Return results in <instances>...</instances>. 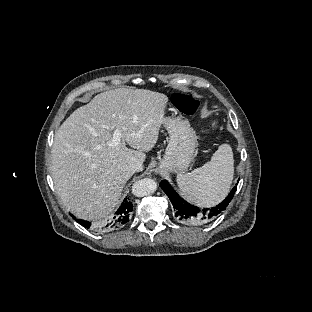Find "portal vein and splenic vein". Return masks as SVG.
Here are the masks:
<instances>
[{"instance_id":"portal-vein-and-splenic-vein-1","label":"portal vein and splenic vein","mask_w":312,"mask_h":312,"mask_svg":"<svg viewBox=\"0 0 312 312\" xmlns=\"http://www.w3.org/2000/svg\"><path fill=\"white\" fill-rule=\"evenodd\" d=\"M122 134L119 130H114L112 140L107 142L108 146L116 147L121 142Z\"/></svg>"}]
</instances>
